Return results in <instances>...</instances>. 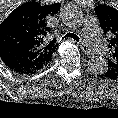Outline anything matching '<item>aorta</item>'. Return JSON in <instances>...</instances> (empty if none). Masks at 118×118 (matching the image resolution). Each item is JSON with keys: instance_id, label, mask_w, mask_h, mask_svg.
Segmentation results:
<instances>
[{"instance_id": "obj_1", "label": "aorta", "mask_w": 118, "mask_h": 118, "mask_svg": "<svg viewBox=\"0 0 118 118\" xmlns=\"http://www.w3.org/2000/svg\"><path fill=\"white\" fill-rule=\"evenodd\" d=\"M60 18L67 26L77 28L82 24L83 14L77 6L68 5L62 9ZM88 68L94 74H104L108 69V63L102 57H93L88 61Z\"/></svg>"}]
</instances>
